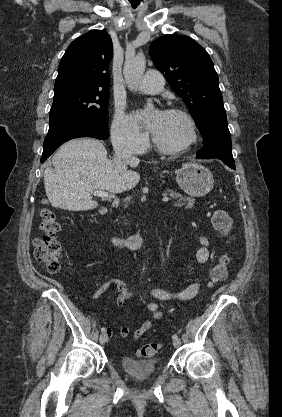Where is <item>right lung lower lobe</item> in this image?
<instances>
[{"label": "right lung lower lobe", "instance_id": "1", "mask_svg": "<svg viewBox=\"0 0 282 417\" xmlns=\"http://www.w3.org/2000/svg\"><path fill=\"white\" fill-rule=\"evenodd\" d=\"M79 137L105 140L109 137V132L85 119H71L49 126L43 144L41 162H44L62 143Z\"/></svg>", "mask_w": 282, "mask_h": 417}]
</instances>
